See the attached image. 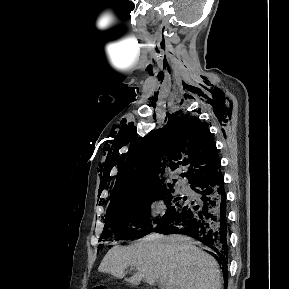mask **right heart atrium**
<instances>
[{
	"instance_id": "1",
	"label": "right heart atrium",
	"mask_w": 289,
	"mask_h": 289,
	"mask_svg": "<svg viewBox=\"0 0 289 289\" xmlns=\"http://www.w3.org/2000/svg\"><path fill=\"white\" fill-rule=\"evenodd\" d=\"M149 210L153 217H161L165 212V204L161 198L153 199L149 204Z\"/></svg>"
}]
</instances>
